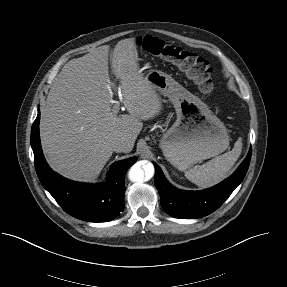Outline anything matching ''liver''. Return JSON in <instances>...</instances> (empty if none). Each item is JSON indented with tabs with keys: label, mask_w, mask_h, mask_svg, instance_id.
Segmentation results:
<instances>
[{
	"label": "liver",
	"mask_w": 287,
	"mask_h": 287,
	"mask_svg": "<svg viewBox=\"0 0 287 287\" xmlns=\"http://www.w3.org/2000/svg\"><path fill=\"white\" fill-rule=\"evenodd\" d=\"M109 45L67 62L41 107L40 138L50 167L66 178L91 182L112 156L110 142L123 138L130 152L142 120L158 115L162 105L153 86L139 70L136 39L119 41L112 68L129 114L112 108Z\"/></svg>",
	"instance_id": "obj_1"
}]
</instances>
